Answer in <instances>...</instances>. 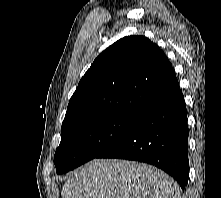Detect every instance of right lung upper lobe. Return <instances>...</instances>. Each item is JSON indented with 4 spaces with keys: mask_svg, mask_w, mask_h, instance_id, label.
I'll return each instance as SVG.
<instances>
[{
    "mask_svg": "<svg viewBox=\"0 0 221 198\" xmlns=\"http://www.w3.org/2000/svg\"><path fill=\"white\" fill-rule=\"evenodd\" d=\"M179 88L163 51L144 36L121 38L104 50L71 97L61 134L115 114L141 117Z\"/></svg>",
    "mask_w": 221,
    "mask_h": 198,
    "instance_id": "obj_1",
    "label": "right lung upper lobe"
}]
</instances>
